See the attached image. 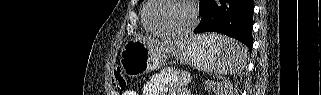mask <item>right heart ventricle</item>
Listing matches in <instances>:
<instances>
[{"label":"right heart ventricle","instance_id":"obj_1","mask_svg":"<svg viewBox=\"0 0 321 95\" xmlns=\"http://www.w3.org/2000/svg\"><path fill=\"white\" fill-rule=\"evenodd\" d=\"M143 11H144V10H143ZM142 21H143V18H142ZM143 26H144V28H145V30H146L147 32L151 33V32L145 27L144 22H143Z\"/></svg>","mask_w":321,"mask_h":95}]
</instances>
